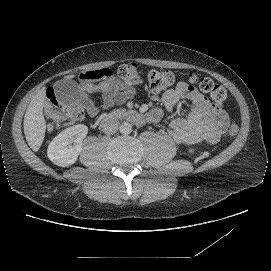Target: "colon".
Here are the masks:
<instances>
[{
    "mask_svg": "<svg viewBox=\"0 0 271 271\" xmlns=\"http://www.w3.org/2000/svg\"><path fill=\"white\" fill-rule=\"evenodd\" d=\"M118 77L126 87H133L140 82L139 67L134 62L122 64L118 68ZM176 77L171 71H162L152 69L147 74V88L152 94H159L168 89L175 83ZM191 83L196 84L200 91L208 94L214 102H222L226 98V90L213 82L210 78H198L190 75ZM45 116L47 119V128L52 130L56 125L77 122L83 119L84 110L80 106L66 105L61 103L55 92L49 90L46 97ZM238 133V126L231 124L228 134L231 137Z\"/></svg>",
    "mask_w": 271,
    "mask_h": 271,
    "instance_id": "1",
    "label": "colon"
}]
</instances>
